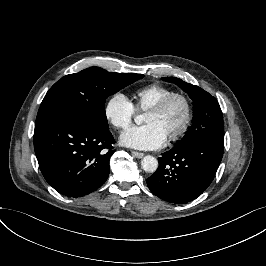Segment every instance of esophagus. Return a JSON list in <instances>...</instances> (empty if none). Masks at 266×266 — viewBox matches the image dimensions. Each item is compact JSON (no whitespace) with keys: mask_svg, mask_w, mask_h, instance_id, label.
Listing matches in <instances>:
<instances>
[{"mask_svg":"<svg viewBox=\"0 0 266 266\" xmlns=\"http://www.w3.org/2000/svg\"><path fill=\"white\" fill-rule=\"evenodd\" d=\"M133 156H135L136 158H142L144 156V153L142 152H137V151H132Z\"/></svg>","mask_w":266,"mask_h":266,"instance_id":"esophagus-1","label":"esophagus"}]
</instances>
